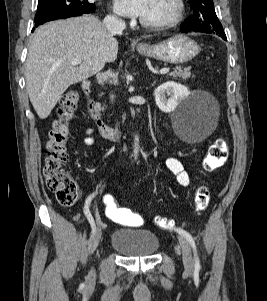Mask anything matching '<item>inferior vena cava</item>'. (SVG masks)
Instances as JSON below:
<instances>
[{
    "label": "inferior vena cava",
    "instance_id": "602c4592",
    "mask_svg": "<svg viewBox=\"0 0 267 301\" xmlns=\"http://www.w3.org/2000/svg\"><path fill=\"white\" fill-rule=\"evenodd\" d=\"M103 24L105 25L108 33L115 35L121 34L122 31L125 29V23L121 19H118L116 16H107L103 20ZM115 96L110 95L111 102L114 101Z\"/></svg>",
    "mask_w": 267,
    "mask_h": 301
}]
</instances>
